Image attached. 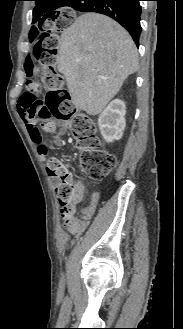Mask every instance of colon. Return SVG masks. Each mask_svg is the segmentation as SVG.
Instances as JSON below:
<instances>
[{"instance_id":"obj_1","label":"colon","mask_w":183,"mask_h":329,"mask_svg":"<svg viewBox=\"0 0 183 329\" xmlns=\"http://www.w3.org/2000/svg\"><path fill=\"white\" fill-rule=\"evenodd\" d=\"M73 21H77V14L64 10L59 14H42V19H36L33 31H29L33 52L25 61L28 81L23 95L19 98L17 113L36 115L42 121H48L52 117L68 121L72 135L82 150L80 164L84 174L92 180H102L115 167L116 157L99 148L93 122L74 108L69 93L62 86V76L55 69L57 38L63 37V32H67V26H72ZM41 81H44L47 89L45 98L41 97ZM44 126L48 131L54 130L50 123ZM36 128L38 129L37 126ZM46 150L44 145L42 151ZM46 170L51 177L59 181L56 193L62 211L77 206L80 200L79 190L64 165L55 157H50L46 162ZM65 226L71 231L77 230L71 225Z\"/></svg>"}]
</instances>
